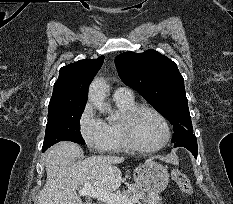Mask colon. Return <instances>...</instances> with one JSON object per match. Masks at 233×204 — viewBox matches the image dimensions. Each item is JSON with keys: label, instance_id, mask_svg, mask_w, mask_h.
Here are the masks:
<instances>
[{"label": "colon", "instance_id": "obj_1", "mask_svg": "<svg viewBox=\"0 0 233 204\" xmlns=\"http://www.w3.org/2000/svg\"><path fill=\"white\" fill-rule=\"evenodd\" d=\"M173 180L177 183L180 190L186 195L193 194V187L188 177L179 169H173L171 172Z\"/></svg>", "mask_w": 233, "mask_h": 204}]
</instances>
